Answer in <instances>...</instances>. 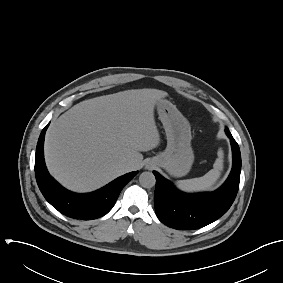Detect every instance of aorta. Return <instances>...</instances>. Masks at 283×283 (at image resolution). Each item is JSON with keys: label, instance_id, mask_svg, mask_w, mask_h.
<instances>
[{"label": "aorta", "instance_id": "762f6f07", "mask_svg": "<svg viewBox=\"0 0 283 283\" xmlns=\"http://www.w3.org/2000/svg\"><path fill=\"white\" fill-rule=\"evenodd\" d=\"M139 182L144 188H152L156 184V178L152 172H143L139 176Z\"/></svg>", "mask_w": 283, "mask_h": 283}]
</instances>
